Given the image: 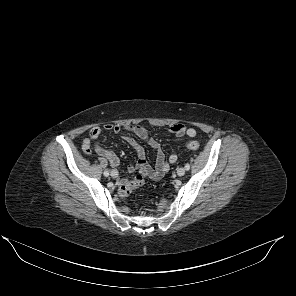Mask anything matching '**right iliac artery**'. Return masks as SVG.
<instances>
[{
	"instance_id": "right-iliac-artery-1",
	"label": "right iliac artery",
	"mask_w": 296,
	"mask_h": 296,
	"mask_svg": "<svg viewBox=\"0 0 296 296\" xmlns=\"http://www.w3.org/2000/svg\"><path fill=\"white\" fill-rule=\"evenodd\" d=\"M104 175L107 177V176H109V171L108 170H105L104 171Z\"/></svg>"
}]
</instances>
